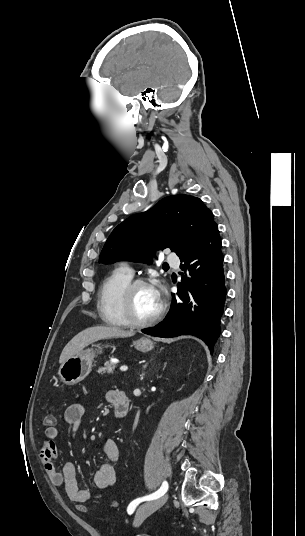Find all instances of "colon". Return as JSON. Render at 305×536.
I'll list each match as a JSON object with an SVG mask.
<instances>
[{"label":"colon","instance_id":"1","mask_svg":"<svg viewBox=\"0 0 305 536\" xmlns=\"http://www.w3.org/2000/svg\"><path fill=\"white\" fill-rule=\"evenodd\" d=\"M43 423L45 426L47 427H51L54 425L55 423V418L52 414H47L45 415L44 419H43ZM88 509V506L86 503L84 502H81V503H77V510L81 513H84L86 512Z\"/></svg>","mask_w":305,"mask_h":536}]
</instances>
